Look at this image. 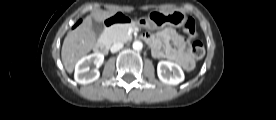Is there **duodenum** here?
Instances as JSON below:
<instances>
[{
    "label": "duodenum",
    "mask_w": 276,
    "mask_h": 120,
    "mask_svg": "<svg viewBox=\"0 0 276 120\" xmlns=\"http://www.w3.org/2000/svg\"><path fill=\"white\" fill-rule=\"evenodd\" d=\"M116 25L132 27L134 25V18L128 15L117 14L112 18L104 19L102 21V26L104 28L115 27ZM95 50L99 54H106L108 52V46L105 42H99L96 45Z\"/></svg>",
    "instance_id": "duodenum-1"
}]
</instances>
